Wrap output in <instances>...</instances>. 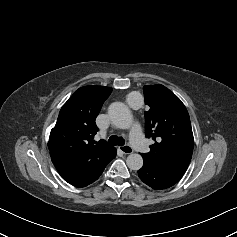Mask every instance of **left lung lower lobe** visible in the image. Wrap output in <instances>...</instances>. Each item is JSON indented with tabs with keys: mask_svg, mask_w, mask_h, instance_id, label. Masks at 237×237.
I'll use <instances>...</instances> for the list:
<instances>
[{
	"mask_svg": "<svg viewBox=\"0 0 237 237\" xmlns=\"http://www.w3.org/2000/svg\"><path fill=\"white\" fill-rule=\"evenodd\" d=\"M182 175L147 160H144L143 167L138 171V176L145 184L158 190L171 187Z\"/></svg>",
	"mask_w": 237,
	"mask_h": 237,
	"instance_id": "0a47b994",
	"label": "left lung lower lobe"
}]
</instances>
